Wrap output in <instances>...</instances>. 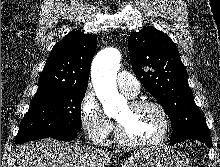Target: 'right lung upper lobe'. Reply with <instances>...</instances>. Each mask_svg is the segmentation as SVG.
<instances>
[{
	"label": "right lung upper lobe",
	"instance_id": "right-lung-upper-lobe-1",
	"mask_svg": "<svg viewBox=\"0 0 220 167\" xmlns=\"http://www.w3.org/2000/svg\"><path fill=\"white\" fill-rule=\"evenodd\" d=\"M96 40L94 34L72 31L56 43L40 75L33 99L65 88H87Z\"/></svg>",
	"mask_w": 220,
	"mask_h": 167
}]
</instances>
